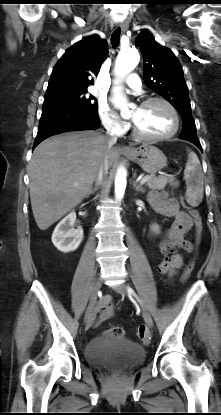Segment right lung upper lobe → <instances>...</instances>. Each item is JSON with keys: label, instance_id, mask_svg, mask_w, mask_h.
<instances>
[{"label": "right lung upper lobe", "instance_id": "1", "mask_svg": "<svg viewBox=\"0 0 221 415\" xmlns=\"http://www.w3.org/2000/svg\"><path fill=\"white\" fill-rule=\"evenodd\" d=\"M108 46L97 35L84 37L68 48L53 68L47 92L87 89L94 84L92 76L99 73L107 58Z\"/></svg>", "mask_w": 221, "mask_h": 415}]
</instances>
